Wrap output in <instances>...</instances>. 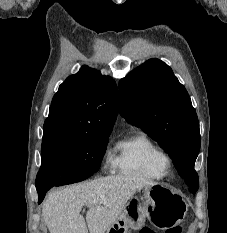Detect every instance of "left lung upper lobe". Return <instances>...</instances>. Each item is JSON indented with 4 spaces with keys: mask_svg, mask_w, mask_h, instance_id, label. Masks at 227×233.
I'll list each match as a JSON object with an SVG mask.
<instances>
[{
    "mask_svg": "<svg viewBox=\"0 0 227 233\" xmlns=\"http://www.w3.org/2000/svg\"><path fill=\"white\" fill-rule=\"evenodd\" d=\"M119 110L142 128L172 158L179 175L195 194L194 164L200 150L199 122L185 87L172 69L150 59L119 82Z\"/></svg>",
    "mask_w": 227,
    "mask_h": 233,
    "instance_id": "obj_1",
    "label": "left lung upper lobe"
}]
</instances>
